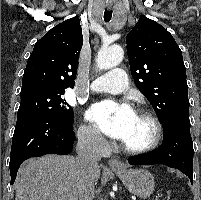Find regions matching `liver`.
Here are the masks:
<instances>
[{
  "instance_id": "1",
  "label": "liver",
  "mask_w": 201,
  "mask_h": 200,
  "mask_svg": "<svg viewBox=\"0 0 201 200\" xmlns=\"http://www.w3.org/2000/svg\"><path fill=\"white\" fill-rule=\"evenodd\" d=\"M100 173L97 167L94 181ZM15 200H78L76 159L50 154L26 161L19 170Z\"/></svg>"
}]
</instances>
